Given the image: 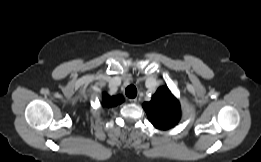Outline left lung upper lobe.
I'll return each mask as SVG.
<instances>
[{
  "label": "left lung upper lobe",
  "mask_w": 261,
  "mask_h": 162,
  "mask_svg": "<svg viewBox=\"0 0 261 162\" xmlns=\"http://www.w3.org/2000/svg\"><path fill=\"white\" fill-rule=\"evenodd\" d=\"M143 108L150 122L158 129L167 130L174 127L181 117L178 100L165 86L160 87L151 101L143 104Z\"/></svg>",
  "instance_id": "1"
}]
</instances>
